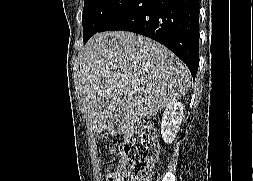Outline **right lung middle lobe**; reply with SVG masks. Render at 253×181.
<instances>
[{
  "instance_id": "dd1d6c3e",
  "label": "right lung middle lobe",
  "mask_w": 253,
  "mask_h": 181,
  "mask_svg": "<svg viewBox=\"0 0 253 181\" xmlns=\"http://www.w3.org/2000/svg\"><path fill=\"white\" fill-rule=\"evenodd\" d=\"M129 0H85L83 36L101 29Z\"/></svg>"
}]
</instances>
